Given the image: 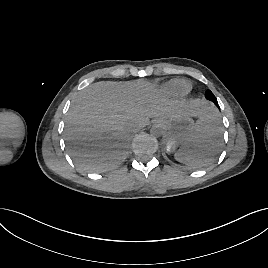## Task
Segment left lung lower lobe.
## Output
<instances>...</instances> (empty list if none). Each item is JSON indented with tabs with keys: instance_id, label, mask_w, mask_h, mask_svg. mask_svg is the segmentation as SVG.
Wrapping results in <instances>:
<instances>
[{
	"instance_id": "left-lung-lower-lobe-1",
	"label": "left lung lower lobe",
	"mask_w": 268,
	"mask_h": 268,
	"mask_svg": "<svg viewBox=\"0 0 268 268\" xmlns=\"http://www.w3.org/2000/svg\"><path fill=\"white\" fill-rule=\"evenodd\" d=\"M215 105H216L217 107H219L218 102H215Z\"/></svg>"
}]
</instances>
